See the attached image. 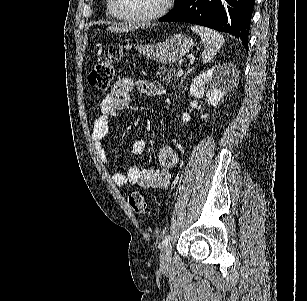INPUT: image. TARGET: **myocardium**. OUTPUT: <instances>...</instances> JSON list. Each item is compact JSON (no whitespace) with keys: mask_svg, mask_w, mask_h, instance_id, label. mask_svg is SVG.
Instances as JSON below:
<instances>
[{"mask_svg":"<svg viewBox=\"0 0 307 301\" xmlns=\"http://www.w3.org/2000/svg\"><path fill=\"white\" fill-rule=\"evenodd\" d=\"M119 0H110V14L117 22H152V18H160L166 13L172 0H164L158 11L120 10Z\"/></svg>","mask_w":307,"mask_h":301,"instance_id":"1","label":"myocardium"}]
</instances>
